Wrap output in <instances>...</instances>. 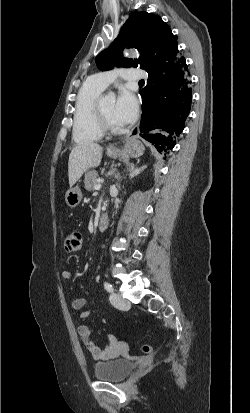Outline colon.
Here are the masks:
<instances>
[{
    "label": "colon",
    "mask_w": 250,
    "mask_h": 413,
    "mask_svg": "<svg viewBox=\"0 0 250 413\" xmlns=\"http://www.w3.org/2000/svg\"><path fill=\"white\" fill-rule=\"evenodd\" d=\"M82 246V235L79 231L72 230L70 231L65 238V249L67 252H77L81 249ZM140 350L143 353L149 354L152 353L154 348L152 345H142Z\"/></svg>",
    "instance_id": "colon-1"
}]
</instances>
